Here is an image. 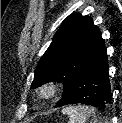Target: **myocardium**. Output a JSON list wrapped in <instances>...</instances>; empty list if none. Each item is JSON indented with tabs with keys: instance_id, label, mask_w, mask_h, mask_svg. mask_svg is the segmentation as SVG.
<instances>
[{
	"instance_id": "myocardium-1",
	"label": "myocardium",
	"mask_w": 122,
	"mask_h": 123,
	"mask_svg": "<svg viewBox=\"0 0 122 123\" xmlns=\"http://www.w3.org/2000/svg\"><path fill=\"white\" fill-rule=\"evenodd\" d=\"M61 92V86L56 80H49L39 88V96L43 100H53Z\"/></svg>"
}]
</instances>
